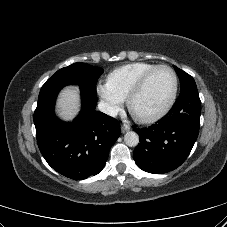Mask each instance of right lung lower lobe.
<instances>
[{"label":"right lung lower lobe","mask_w":227,"mask_h":227,"mask_svg":"<svg viewBox=\"0 0 227 227\" xmlns=\"http://www.w3.org/2000/svg\"><path fill=\"white\" fill-rule=\"evenodd\" d=\"M68 83L43 85L34 124L38 147L58 173L75 180L98 174L111 146L120 136L119 122L95 111L97 96L80 88L82 110L73 122H63L54 113L57 95Z\"/></svg>","instance_id":"right-lung-lower-lobe-1"}]
</instances>
